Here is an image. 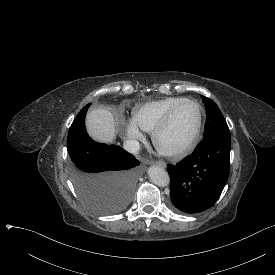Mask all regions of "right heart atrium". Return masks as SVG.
Returning a JSON list of instances; mask_svg holds the SVG:
<instances>
[{
    "label": "right heart atrium",
    "instance_id": "1",
    "mask_svg": "<svg viewBox=\"0 0 275 275\" xmlns=\"http://www.w3.org/2000/svg\"><path fill=\"white\" fill-rule=\"evenodd\" d=\"M126 133L127 139L129 140L138 141L142 137V134L137 126L130 122H127Z\"/></svg>",
    "mask_w": 275,
    "mask_h": 275
}]
</instances>
